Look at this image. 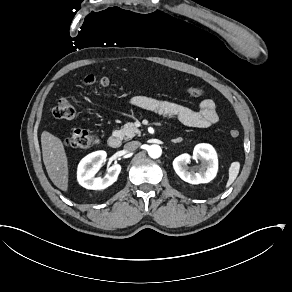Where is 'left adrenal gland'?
Listing matches in <instances>:
<instances>
[{"instance_id": "a2214340", "label": "left adrenal gland", "mask_w": 292, "mask_h": 292, "mask_svg": "<svg viewBox=\"0 0 292 292\" xmlns=\"http://www.w3.org/2000/svg\"><path fill=\"white\" fill-rule=\"evenodd\" d=\"M181 141H182V138H180V137L177 138V139H173L172 140V142H174V143H178V142H181Z\"/></svg>"}]
</instances>
